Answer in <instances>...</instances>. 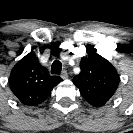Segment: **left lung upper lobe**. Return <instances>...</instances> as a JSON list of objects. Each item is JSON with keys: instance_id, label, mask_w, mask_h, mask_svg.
Returning a JSON list of instances; mask_svg holds the SVG:
<instances>
[{"instance_id": "1", "label": "left lung upper lobe", "mask_w": 133, "mask_h": 133, "mask_svg": "<svg viewBox=\"0 0 133 133\" xmlns=\"http://www.w3.org/2000/svg\"><path fill=\"white\" fill-rule=\"evenodd\" d=\"M87 53L81 58V72L73 78V83L88 103L102 107L114 95L120 78L115 67L93 47L87 46Z\"/></svg>"}]
</instances>
